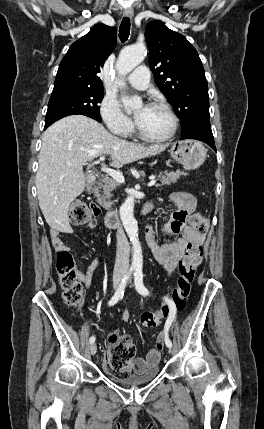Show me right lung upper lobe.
<instances>
[{
  "label": "right lung upper lobe",
  "instance_id": "obj_1",
  "mask_svg": "<svg viewBox=\"0 0 264 429\" xmlns=\"http://www.w3.org/2000/svg\"><path fill=\"white\" fill-rule=\"evenodd\" d=\"M116 39V28L104 24L95 25L89 33L70 46L60 63L53 90L65 87L103 89L98 74L114 50Z\"/></svg>",
  "mask_w": 264,
  "mask_h": 429
}]
</instances>
